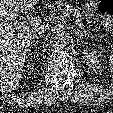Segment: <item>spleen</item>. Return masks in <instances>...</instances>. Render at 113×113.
Returning a JSON list of instances; mask_svg holds the SVG:
<instances>
[{"label":"spleen","instance_id":"spleen-1","mask_svg":"<svg viewBox=\"0 0 113 113\" xmlns=\"http://www.w3.org/2000/svg\"><path fill=\"white\" fill-rule=\"evenodd\" d=\"M109 68L113 73V54L109 57Z\"/></svg>","mask_w":113,"mask_h":113}]
</instances>
